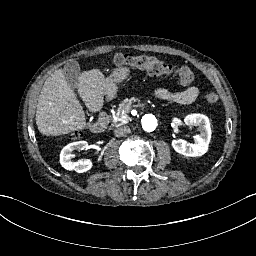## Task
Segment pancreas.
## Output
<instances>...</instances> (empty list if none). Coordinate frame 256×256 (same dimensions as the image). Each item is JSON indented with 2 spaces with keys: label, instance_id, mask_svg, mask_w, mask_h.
Returning a JSON list of instances; mask_svg holds the SVG:
<instances>
[{
  "label": "pancreas",
  "instance_id": "obj_1",
  "mask_svg": "<svg viewBox=\"0 0 256 256\" xmlns=\"http://www.w3.org/2000/svg\"><path fill=\"white\" fill-rule=\"evenodd\" d=\"M132 109V105H131V101L129 100H125L123 103H121L118 111L121 112V111H124L125 114H128ZM110 120L112 121V126H120V125H123L124 123H127L130 118L126 115L125 118H122L121 115H118L117 116V119H113L112 117L110 118Z\"/></svg>",
  "mask_w": 256,
  "mask_h": 256
}]
</instances>
